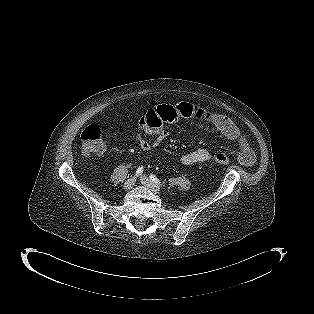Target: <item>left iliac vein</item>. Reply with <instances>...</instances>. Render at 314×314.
Listing matches in <instances>:
<instances>
[{"label": "left iliac vein", "instance_id": "1", "mask_svg": "<svg viewBox=\"0 0 314 314\" xmlns=\"http://www.w3.org/2000/svg\"><path fill=\"white\" fill-rule=\"evenodd\" d=\"M140 180L142 182L143 185H145L147 188H149L151 191H153L156 194L160 193V188L155 185L148 177H146L145 175H142L140 177Z\"/></svg>", "mask_w": 314, "mask_h": 314}]
</instances>
